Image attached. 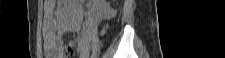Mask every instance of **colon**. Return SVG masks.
Listing matches in <instances>:
<instances>
[{
    "mask_svg": "<svg viewBox=\"0 0 225 58\" xmlns=\"http://www.w3.org/2000/svg\"><path fill=\"white\" fill-rule=\"evenodd\" d=\"M76 46L74 43L67 44L63 49V57H70L75 53Z\"/></svg>",
    "mask_w": 225,
    "mask_h": 58,
    "instance_id": "colon-1",
    "label": "colon"
}]
</instances>
